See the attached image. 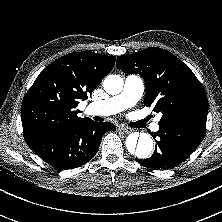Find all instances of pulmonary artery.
<instances>
[{
    "mask_svg": "<svg viewBox=\"0 0 222 222\" xmlns=\"http://www.w3.org/2000/svg\"><path fill=\"white\" fill-rule=\"evenodd\" d=\"M144 91V83L141 77L129 75L124 81L122 91L106 100L91 102L87 106V112L92 115L107 116L117 114L134 106L141 98ZM159 125L154 123L152 130L157 131Z\"/></svg>",
    "mask_w": 222,
    "mask_h": 222,
    "instance_id": "e3ab8cb5",
    "label": "pulmonary artery"
}]
</instances>
